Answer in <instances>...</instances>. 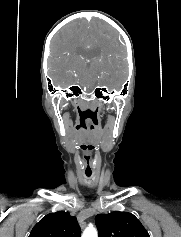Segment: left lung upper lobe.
I'll return each instance as SVG.
<instances>
[{"mask_svg":"<svg viewBox=\"0 0 181 237\" xmlns=\"http://www.w3.org/2000/svg\"><path fill=\"white\" fill-rule=\"evenodd\" d=\"M95 221L99 237H149L141 222L129 212L98 214Z\"/></svg>","mask_w":181,"mask_h":237,"instance_id":"obj_1","label":"left lung upper lobe"}]
</instances>
